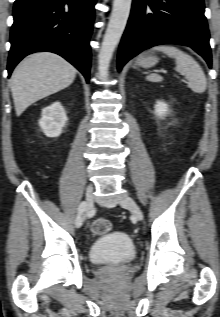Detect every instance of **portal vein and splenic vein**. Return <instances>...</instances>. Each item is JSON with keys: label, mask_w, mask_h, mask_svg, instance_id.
I'll use <instances>...</instances> for the list:
<instances>
[{"label": "portal vein and splenic vein", "mask_w": 220, "mask_h": 317, "mask_svg": "<svg viewBox=\"0 0 220 317\" xmlns=\"http://www.w3.org/2000/svg\"><path fill=\"white\" fill-rule=\"evenodd\" d=\"M162 72H163V73H166V71H165V70H162Z\"/></svg>", "instance_id": "obj_1"}]
</instances>
